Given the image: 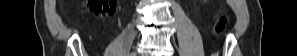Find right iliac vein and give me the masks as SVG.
Segmentation results:
<instances>
[{
	"label": "right iliac vein",
	"instance_id": "1",
	"mask_svg": "<svg viewBox=\"0 0 297 56\" xmlns=\"http://www.w3.org/2000/svg\"><path fill=\"white\" fill-rule=\"evenodd\" d=\"M129 56H136V52L135 51L131 52Z\"/></svg>",
	"mask_w": 297,
	"mask_h": 56
}]
</instances>
